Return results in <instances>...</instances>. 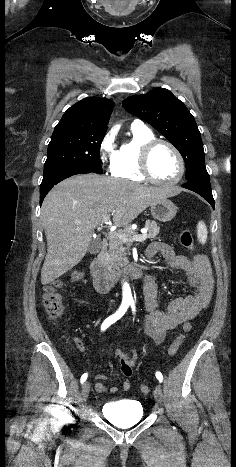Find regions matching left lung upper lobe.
Returning <instances> with one entry per match:
<instances>
[{"label": "left lung upper lobe", "mask_w": 236, "mask_h": 467, "mask_svg": "<svg viewBox=\"0 0 236 467\" xmlns=\"http://www.w3.org/2000/svg\"><path fill=\"white\" fill-rule=\"evenodd\" d=\"M127 112L152 125L181 153L190 181L209 176L205 167L201 135L194 117L169 90L156 88L134 95L122 103Z\"/></svg>", "instance_id": "5c2ea615"}]
</instances>
